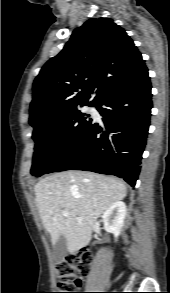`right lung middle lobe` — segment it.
<instances>
[{
	"label": "right lung middle lobe",
	"mask_w": 170,
	"mask_h": 293,
	"mask_svg": "<svg viewBox=\"0 0 170 293\" xmlns=\"http://www.w3.org/2000/svg\"><path fill=\"white\" fill-rule=\"evenodd\" d=\"M88 117L89 115L81 113L76 107L34 128L32 138L36 145L31 168L32 175L39 177L47 173L91 123L92 120H88Z\"/></svg>",
	"instance_id": "1"
}]
</instances>
